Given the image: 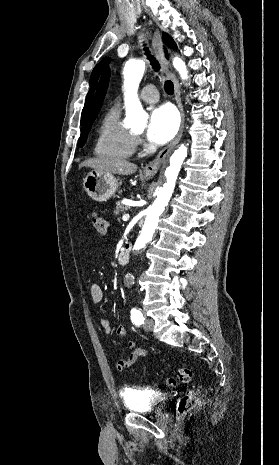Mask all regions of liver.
<instances>
[{
    "instance_id": "6515ba94",
    "label": "liver",
    "mask_w": 279,
    "mask_h": 465,
    "mask_svg": "<svg viewBox=\"0 0 279 465\" xmlns=\"http://www.w3.org/2000/svg\"><path fill=\"white\" fill-rule=\"evenodd\" d=\"M90 167L96 171L110 174L131 175L136 172L137 165L124 159L113 157H98L88 159L79 165V168Z\"/></svg>"
}]
</instances>
